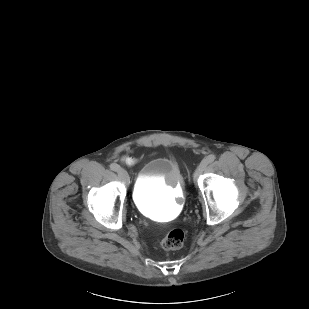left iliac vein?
<instances>
[{
  "instance_id": "left-iliac-vein-1",
  "label": "left iliac vein",
  "mask_w": 309,
  "mask_h": 309,
  "mask_svg": "<svg viewBox=\"0 0 309 309\" xmlns=\"http://www.w3.org/2000/svg\"><path fill=\"white\" fill-rule=\"evenodd\" d=\"M207 167V163L205 160H203L197 167V169L195 170L194 174H193V179H197L201 174L202 172L206 169Z\"/></svg>"
}]
</instances>
